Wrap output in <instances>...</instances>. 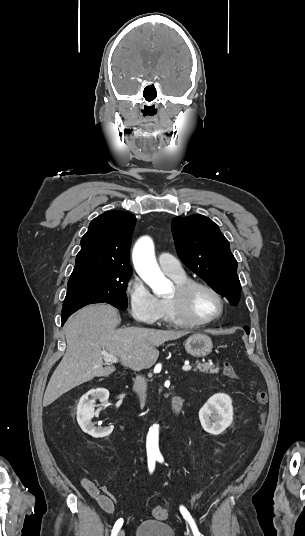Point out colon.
Returning a JSON list of instances; mask_svg holds the SVG:
<instances>
[{
  "label": "colon",
  "mask_w": 305,
  "mask_h": 536,
  "mask_svg": "<svg viewBox=\"0 0 305 536\" xmlns=\"http://www.w3.org/2000/svg\"><path fill=\"white\" fill-rule=\"evenodd\" d=\"M222 372L226 377L232 379H238L239 375L236 372L235 368L230 362H224L222 367ZM256 402L259 406L264 407L268 400V395L265 390L258 389L255 394ZM261 420L263 417L261 416ZM169 507L167 505H158L153 509V516L156 519H164L169 515Z\"/></svg>",
  "instance_id": "5ec220e1"
}]
</instances>
